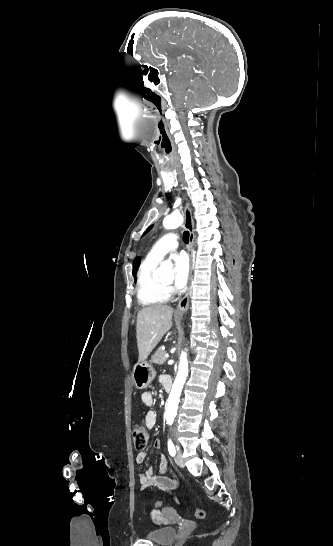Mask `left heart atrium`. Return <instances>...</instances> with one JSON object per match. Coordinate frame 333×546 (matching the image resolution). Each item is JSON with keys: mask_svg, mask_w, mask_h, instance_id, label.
Here are the masks:
<instances>
[{"mask_svg": "<svg viewBox=\"0 0 333 546\" xmlns=\"http://www.w3.org/2000/svg\"><path fill=\"white\" fill-rule=\"evenodd\" d=\"M175 271L174 285L182 288L186 285L189 277V259L186 254L179 253L172 257Z\"/></svg>", "mask_w": 333, "mask_h": 546, "instance_id": "left-heart-atrium-1", "label": "left heart atrium"}]
</instances>
